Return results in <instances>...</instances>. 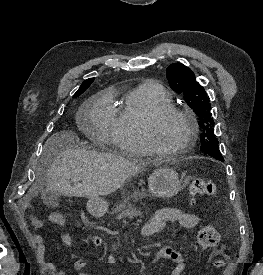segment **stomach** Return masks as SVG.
<instances>
[{
	"mask_svg": "<svg viewBox=\"0 0 263 275\" xmlns=\"http://www.w3.org/2000/svg\"><path fill=\"white\" fill-rule=\"evenodd\" d=\"M149 191L159 198H170L182 188L178 173L168 167H160L148 178ZM117 208V207H116ZM87 209L95 217H102L108 210V204L102 199H90Z\"/></svg>",
	"mask_w": 263,
	"mask_h": 275,
	"instance_id": "1",
	"label": "stomach"
}]
</instances>
